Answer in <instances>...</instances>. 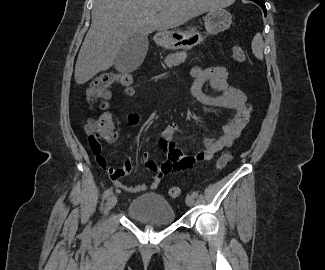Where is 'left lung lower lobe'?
I'll list each match as a JSON object with an SVG mask.
<instances>
[{"label":"left lung lower lobe","instance_id":"obj_1","mask_svg":"<svg viewBox=\"0 0 325 270\" xmlns=\"http://www.w3.org/2000/svg\"><path fill=\"white\" fill-rule=\"evenodd\" d=\"M252 1L257 3L263 9L265 16H266L267 13H266V7H265V0H252Z\"/></svg>","mask_w":325,"mask_h":270}]
</instances>
